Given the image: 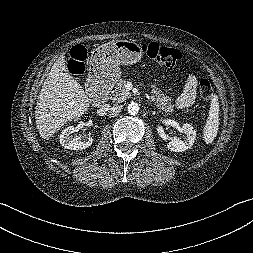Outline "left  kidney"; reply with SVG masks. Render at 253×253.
<instances>
[{
  "label": "left kidney",
  "mask_w": 253,
  "mask_h": 253,
  "mask_svg": "<svg viewBox=\"0 0 253 253\" xmlns=\"http://www.w3.org/2000/svg\"><path fill=\"white\" fill-rule=\"evenodd\" d=\"M180 131L187 136L184 140L176 138L168 143V149L173 152H183L189 149L191 146H193L194 141L196 140V131L193 129L192 125L185 123Z\"/></svg>",
  "instance_id": "obj_1"
}]
</instances>
